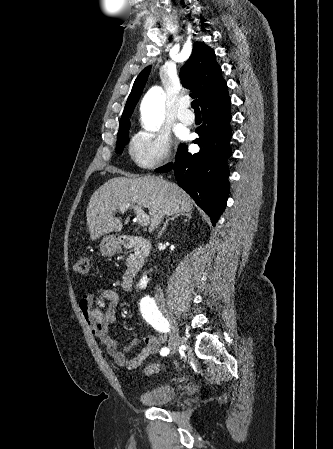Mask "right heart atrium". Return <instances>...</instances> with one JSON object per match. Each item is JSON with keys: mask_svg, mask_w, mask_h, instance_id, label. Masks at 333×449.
<instances>
[{"mask_svg": "<svg viewBox=\"0 0 333 449\" xmlns=\"http://www.w3.org/2000/svg\"><path fill=\"white\" fill-rule=\"evenodd\" d=\"M129 153L139 167L152 169L170 160L171 141L164 133L141 131L133 136Z\"/></svg>", "mask_w": 333, "mask_h": 449, "instance_id": "right-heart-atrium-1", "label": "right heart atrium"}]
</instances>
